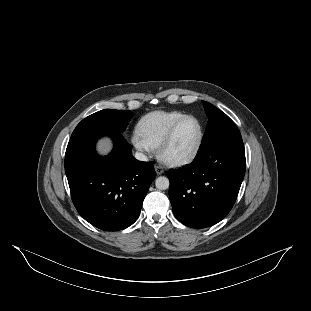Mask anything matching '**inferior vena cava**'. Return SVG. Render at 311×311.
Returning <instances> with one entry per match:
<instances>
[{"label":"inferior vena cava","instance_id":"602c4592","mask_svg":"<svg viewBox=\"0 0 311 311\" xmlns=\"http://www.w3.org/2000/svg\"><path fill=\"white\" fill-rule=\"evenodd\" d=\"M135 159L142 162H148V156L141 152L135 153Z\"/></svg>","mask_w":311,"mask_h":311}]
</instances>
